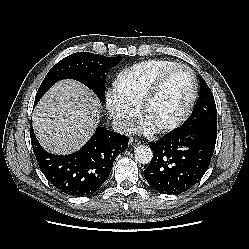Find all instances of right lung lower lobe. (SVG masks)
I'll return each instance as SVG.
<instances>
[{
  "mask_svg": "<svg viewBox=\"0 0 249 249\" xmlns=\"http://www.w3.org/2000/svg\"><path fill=\"white\" fill-rule=\"evenodd\" d=\"M30 138L36 160L46 178L60 191L77 197L91 195L103 185L115 158L127 149L129 141L127 136L99 127L79 151L60 156L41 147L32 124Z\"/></svg>",
  "mask_w": 249,
  "mask_h": 249,
  "instance_id": "obj_1",
  "label": "right lung lower lobe"
}]
</instances>
